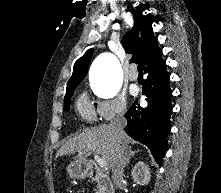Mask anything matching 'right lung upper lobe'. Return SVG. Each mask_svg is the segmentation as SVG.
<instances>
[{"label":"right lung upper lobe","instance_id":"cb5924a9","mask_svg":"<svg viewBox=\"0 0 221 193\" xmlns=\"http://www.w3.org/2000/svg\"><path fill=\"white\" fill-rule=\"evenodd\" d=\"M157 42V38L152 33L151 20L144 15H134V27L123 36L122 45L127 53L133 54L131 61L138 60L142 63L145 73L165 62ZM92 54L93 50L89 49L75 62L67 87L78 85L83 80Z\"/></svg>","mask_w":221,"mask_h":193}]
</instances>
